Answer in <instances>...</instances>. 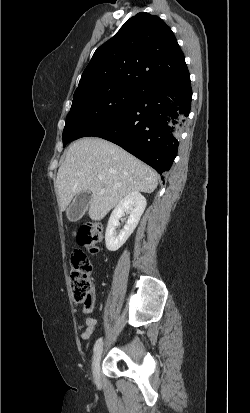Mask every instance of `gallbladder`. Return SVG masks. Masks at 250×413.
I'll list each match as a JSON object with an SVG mask.
<instances>
[{"label": "gallbladder", "mask_w": 250, "mask_h": 413, "mask_svg": "<svg viewBox=\"0 0 250 413\" xmlns=\"http://www.w3.org/2000/svg\"><path fill=\"white\" fill-rule=\"evenodd\" d=\"M90 200L91 193L88 191L76 195L73 202L67 209V218L72 222H76L81 219L89 206Z\"/></svg>", "instance_id": "gallbladder-1"}]
</instances>
